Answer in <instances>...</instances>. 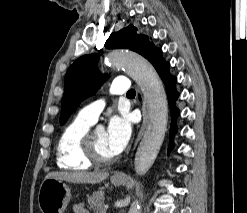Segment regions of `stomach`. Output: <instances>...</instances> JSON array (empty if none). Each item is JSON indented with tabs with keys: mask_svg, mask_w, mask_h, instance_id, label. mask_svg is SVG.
<instances>
[{
	"mask_svg": "<svg viewBox=\"0 0 247 213\" xmlns=\"http://www.w3.org/2000/svg\"><path fill=\"white\" fill-rule=\"evenodd\" d=\"M114 186L123 184V179L111 178ZM71 197L69 186L63 181L47 178L39 188L38 205L42 213H63Z\"/></svg>",
	"mask_w": 247,
	"mask_h": 213,
	"instance_id": "obj_1",
	"label": "stomach"
}]
</instances>
